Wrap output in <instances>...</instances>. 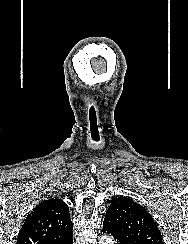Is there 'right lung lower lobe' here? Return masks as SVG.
<instances>
[{"instance_id":"obj_1","label":"right lung lower lobe","mask_w":188,"mask_h":244,"mask_svg":"<svg viewBox=\"0 0 188 244\" xmlns=\"http://www.w3.org/2000/svg\"><path fill=\"white\" fill-rule=\"evenodd\" d=\"M73 232L70 233L69 235H67L63 240H61L60 242H56L54 244H72L73 243Z\"/></svg>"}]
</instances>
